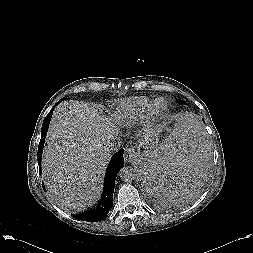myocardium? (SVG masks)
Masks as SVG:
<instances>
[{
    "mask_svg": "<svg viewBox=\"0 0 253 253\" xmlns=\"http://www.w3.org/2000/svg\"><path fill=\"white\" fill-rule=\"evenodd\" d=\"M159 102H163V104H164V108L160 112H158L156 110V105ZM167 109H168V106H167L166 101L163 98H156L150 102V104L145 112L143 120H145L146 123L157 122V121L161 120L166 115Z\"/></svg>",
    "mask_w": 253,
    "mask_h": 253,
    "instance_id": "1",
    "label": "myocardium"
}]
</instances>
